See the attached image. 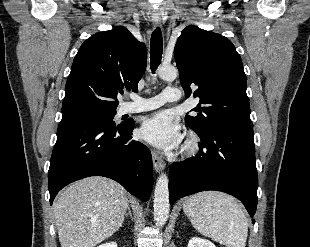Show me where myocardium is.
<instances>
[{
	"label": "myocardium",
	"instance_id": "myocardium-1",
	"mask_svg": "<svg viewBox=\"0 0 310 247\" xmlns=\"http://www.w3.org/2000/svg\"><path fill=\"white\" fill-rule=\"evenodd\" d=\"M183 149L189 155L195 154L199 149L198 137L195 134L191 133L186 139Z\"/></svg>",
	"mask_w": 310,
	"mask_h": 247
}]
</instances>
